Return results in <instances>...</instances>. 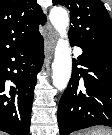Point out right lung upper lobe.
Returning <instances> with one entry per match:
<instances>
[{
	"label": "right lung upper lobe",
	"mask_w": 112,
	"mask_h": 135,
	"mask_svg": "<svg viewBox=\"0 0 112 135\" xmlns=\"http://www.w3.org/2000/svg\"><path fill=\"white\" fill-rule=\"evenodd\" d=\"M45 22L36 0H0V57L39 36Z\"/></svg>",
	"instance_id": "obj_1"
}]
</instances>
